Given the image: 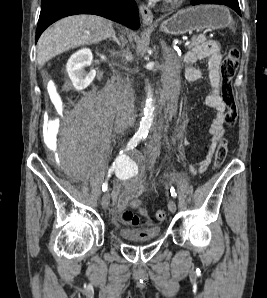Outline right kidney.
<instances>
[{
    "mask_svg": "<svg viewBox=\"0 0 267 298\" xmlns=\"http://www.w3.org/2000/svg\"><path fill=\"white\" fill-rule=\"evenodd\" d=\"M92 59V52L88 48L75 52L68 59L66 70L74 88L78 91L87 88L96 76L94 69L87 74L84 72V68L91 65Z\"/></svg>",
    "mask_w": 267,
    "mask_h": 298,
    "instance_id": "1",
    "label": "right kidney"
}]
</instances>
